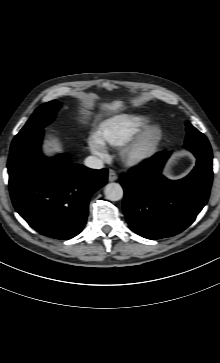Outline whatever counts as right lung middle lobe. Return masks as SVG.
Instances as JSON below:
<instances>
[{
	"label": "right lung middle lobe",
	"instance_id": "1",
	"mask_svg": "<svg viewBox=\"0 0 220 363\" xmlns=\"http://www.w3.org/2000/svg\"><path fill=\"white\" fill-rule=\"evenodd\" d=\"M61 107V103L53 100L39 106L32 114L21 131L15 136L12 146L29 137L30 135L43 130L45 126L50 124L56 116V112Z\"/></svg>",
	"mask_w": 220,
	"mask_h": 363
}]
</instances>
